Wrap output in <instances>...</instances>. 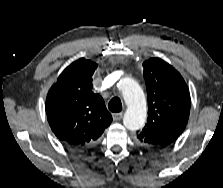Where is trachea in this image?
<instances>
[{
	"instance_id": "3493384b",
	"label": "trachea",
	"mask_w": 223,
	"mask_h": 188,
	"mask_svg": "<svg viewBox=\"0 0 223 188\" xmlns=\"http://www.w3.org/2000/svg\"><path fill=\"white\" fill-rule=\"evenodd\" d=\"M108 108L111 112L118 113L122 110V103L118 97H113L108 104Z\"/></svg>"
}]
</instances>
